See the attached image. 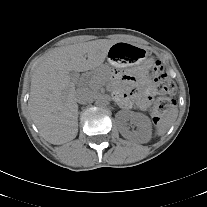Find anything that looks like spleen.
Returning <instances> with one entry per match:
<instances>
[{
    "instance_id": "spleen-1",
    "label": "spleen",
    "mask_w": 207,
    "mask_h": 207,
    "mask_svg": "<svg viewBox=\"0 0 207 207\" xmlns=\"http://www.w3.org/2000/svg\"><path fill=\"white\" fill-rule=\"evenodd\" d=\"M178 116V111L176 106H171L170 108L166 109L160 116V120L155 126V134L157 136L164 135L173 123L176 121Z\"/></svg>"
}]
</instances>
